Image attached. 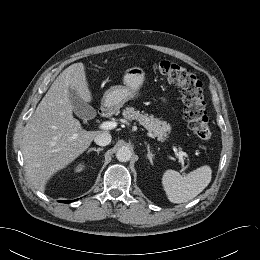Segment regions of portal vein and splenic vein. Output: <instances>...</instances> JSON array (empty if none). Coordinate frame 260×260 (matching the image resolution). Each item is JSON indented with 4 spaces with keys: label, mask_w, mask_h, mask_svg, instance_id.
<instances>
[{
    "label": "portal vein and splenic vein",
    "mask_w": 260,
    "mask_h": 260,
    "mask_svg": "<svg viewBox=\"0 0 260 260\" xmlns=\"http://www.w3.org/2000/svg\"><path fill=\"white\" fill-rule=\"evenodd\" d=\"M116 127H117V122H115V121H105V122L100 124V128L104 129V130H111V129H114ZM177 155H178V159H179L178 162L181 165H183V163H184V158L183 157L184 156L186 157L187 154L185 152L179 151ZM181 171L183 172V174H185L184 168H182Z\"/></svg>",
    "instance_id": "18ae733b"
}]
</instances>
